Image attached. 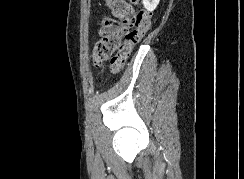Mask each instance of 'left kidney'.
<instances>
[{"label": "left kidney", "mask_w": 244, "mask_h": 179, "mask_svg": "<svg viewBox=\"0 0 244 179\" xmlns=\"http://www.w3.org/2000/svg\"><path fill=\"white\" fill-rule=\"evenodd\" d=\"M160 0H143V6L148 12H153L157 8Z\"/></svg>", "instance_id": "obj_1"}]
</instances>
